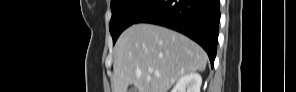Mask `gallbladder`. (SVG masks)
Returning <instances> with one entry per match:
<instances>
[{
    "mask_svg": "<svg viewBox=\"0 0 296 92\" xmlns=\"http://www.w3.org/2000/svg\"><path fill=\"white\" fill-rule=\"evenodd\" d=\"M128 92H137L136 88H131L128 90Z\"/></svg>",
    "mask_w": 296,
    "mask_h": 92,
    "instance_id": "1",
    "label": "gallbladder"
}]
</instances>
